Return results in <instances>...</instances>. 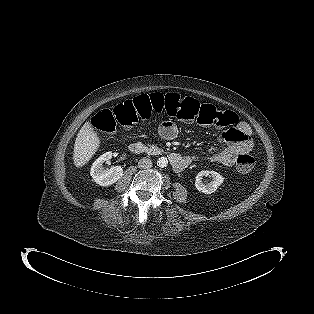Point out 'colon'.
<instances>
[{
  "label": "colon",
  "mask_w": 314,
  "mask_h": 314,
  "mask_svg": "<svg viewBox=\"0 0 314 314\" xmlns=\"http://www.w3.org/2000/svg\"><path fill=\"white\" fill-rule=\"evenodd\" d=\"M162 113L183 122H197L219 128L234 122L230 112L217 111L214 106L202 104L192 97L156 92L125 100L113 109H104L95 115L92 124L95 131L112 135L120 127L129 128ZM236 166L240 172L248 173L254 168L255 159L251 154H240Z\"/></svg>",
  "instance_id": "obj_1"
}]
</instances>
